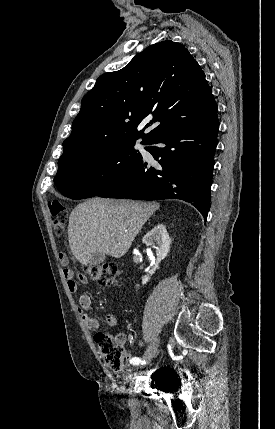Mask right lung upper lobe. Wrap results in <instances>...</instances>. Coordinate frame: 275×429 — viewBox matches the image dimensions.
Masks as SVG:
<instances>
[{
    "instance_id": "right-lung-upper-lobe-1",
    "label": "right lung upper lobe",
    "mask_w": 275,
    "mask_h": 429,
    "mask_svg": "<svg viewBox=\"0 0 275 429\" xmlns=\"http://www.w3.org/2000/svg\"><path fill=\"white\" fill-rule=\"evenodd\" d=\"M217 111L205 74L189 51L170 40L149 46L119 71L100 76L82 99L58 165L120 142L147 143ZM152 120L141 130L138 125ZM154 125L144 134L147 126Z\"/></svg>"
}]
</instances>
